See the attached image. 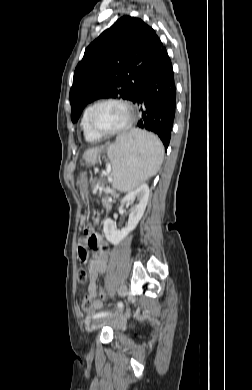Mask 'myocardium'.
Here are the masks:
<instances>
[{"label":"myocardium","mask_w":252,"mask_h":390,"mask_svg":"<svg viewBox=\"0 0 252 390\" xmlns=\"http://www.w3.org/2000/svg\"><path fill=\"white\" fill-rule=\"evenodd\" d=\"M107 103L120 104L123 107H125V109L128 111V120L126 121V123L120 128H117L112 131H103L99 129L94 123V115L97 108L100 105L107 104ZM135 118H136L135 109L129 101L120 98H107V99H102L100 101H97L95 104L92 105L89 114V126L95 133L99 134L100 136H115L128 131L134 124Z\"/></svg>","instance_id":"1"}]
</instances>
